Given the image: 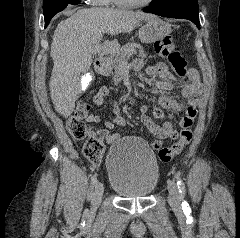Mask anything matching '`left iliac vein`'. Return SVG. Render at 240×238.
Listing matches in <instances>:
<instances>
[{
	"instance_id": "left-iliac-vein-1",
	"label": "left iliac vein",
	"mask_w": 240,
	"mask_h": 238,
	"mask_svg": "<svg viewBox=\"0 0 240 238\" xmlns=\"http://www.w3.org/2000/svg\"><path fill=\"white\" fill-rule=\"evenodd\" d=\"M169 197L168 201L174 210L181 209L182 196L179 194L177 184L174 181L168 183Z\"/></svg>"
}]
</instances>
